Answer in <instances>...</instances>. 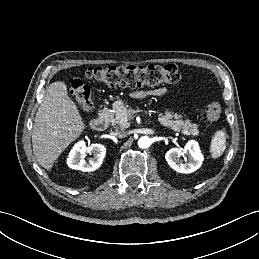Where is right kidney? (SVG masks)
Here are the masks:
<instances>
[{
    "instance_id": "ca27d5eb",
    "label": "right kidney",
    "mask_w": 259,
    "mask_h": 259,
    "mask_svg": "<svg viewBox=\"0 0 259 259\" xmlns=\"http://www.w3.org/2000/svg\"><path fill=\"white\" fill-rule=\"evenodd\" d=\"M87 154L93 155L88 161L85 160ZM105 154L106 148L102 144L86 146L84 141H79L71 149L67 158V164L75 170L83 172L95 171L101 166Z\"/></svg>"
}]
</instances>
